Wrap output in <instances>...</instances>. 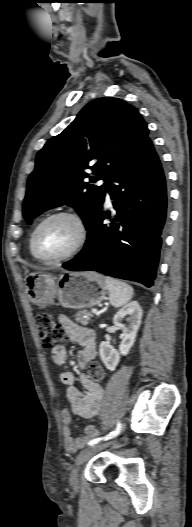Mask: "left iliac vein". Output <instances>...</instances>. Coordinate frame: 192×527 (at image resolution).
<instances>
[{
  "mask_svg": "<svg viewBox=\"0 0 192 527\" xmlns=\"http://www.w3.org/2000/svg\"><path fill=\"white\" fill-rule=\"evenodd\" d=\"M110 443H98L93 446L88 447L87 449L83 450L77 457L75 461V469L72 472L71 475V485L74 489L78 488V468L80 465H82L84 462L89 460L94 454L97 452L105 449L108 447Z\"/></svg>",
  "mask_w": 192,
  "mask_h": 527,
  "instance_id": "4c4485c4",
  "label": "left iliac vein"
}]
</instances>
